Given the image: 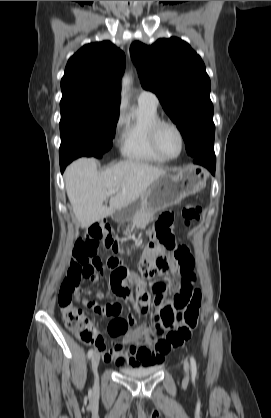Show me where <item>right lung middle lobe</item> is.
<instances>
[{"label": "right lung middle lobe", "instance_id": "obj_1", "mask_svg": "<svg viewBox=\"0 0 271 418\" xmlns=\"http://www.w3.org/2000/svg\"><path fill=\"white\" fill-rule=\"evenodd\" d=\"M60 158H101L113 145L119 107L83 102L60 104Z\"/></svg>", "mask_w": 271, "mask_h": 418}]
</instances>
